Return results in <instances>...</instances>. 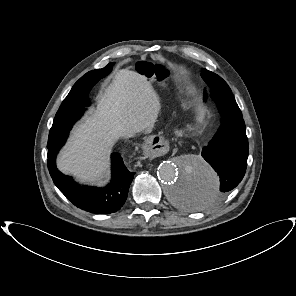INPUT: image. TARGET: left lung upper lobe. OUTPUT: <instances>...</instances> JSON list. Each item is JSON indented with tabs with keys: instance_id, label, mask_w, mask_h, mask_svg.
I'll list each match as a JSON object with an SVG mask.
<instances>
[{
	"instance_id": "obj_1",
	"label": "left lung upper lobe",
	"mask_w": 296,
	"mask_h": 296,
	"mask_svg": "<svg viewBox=\"0 0 296 296\" xmlns=\"http://www.w3.org/2000/svg\"><path fill=\"white\" fill-rule=\"evenodd\" d=\"M201 75L204 81L212 89V94L214 98H217V99L234 98L228 84L217 74L211 71H208L206 69H202ZM204 98H206V95L204 96Z\"/></svg>"
}]
</instances>
